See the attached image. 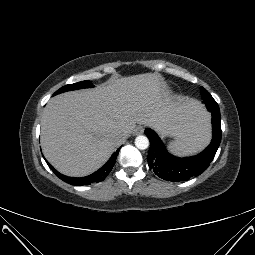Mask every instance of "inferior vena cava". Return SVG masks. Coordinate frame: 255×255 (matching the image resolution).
Wrapping results in <instances>:
<instances>
[{
  "label": "inferior vena cava",
  "mask_w": 255,
  "mask_h": 255,
  "mask_svg": "<svg viewBox=\"0 0 255 255\" xmlns=\"http://www.w3.org/2000/svg\"><path fill=\"white\" fill-rule=\"evenodd\" d=\"M114 137L119 140V141H122L124 140L125 138H127V133L124 132V131H117L115 134H114Z\"/></svg>",
  "instance_id": "inferior-vena-cava-1"
}]
</instances>
